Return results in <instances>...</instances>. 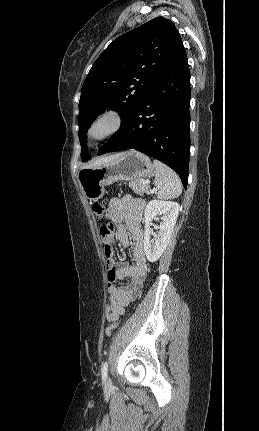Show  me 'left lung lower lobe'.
<instances>
[{
	"label": "left lung lower lobe",
	"instance_id": "left-lung-lower-lobe-1",
	"mask_svg": "<svg viewBox=\"0 0 259 431\" xmlns=\"http://www.w3.org/2000/svg\"><path fill=\"white\" fill-rule=\"evenodd\" d=\"M190 71L184 46L98 155L135 149L171 167L186 188L189 175Z\"/></svg>",
	"mask_w": 259,
	"mask_h": 431
}]
</instances>
